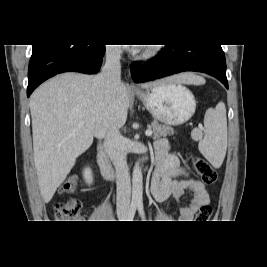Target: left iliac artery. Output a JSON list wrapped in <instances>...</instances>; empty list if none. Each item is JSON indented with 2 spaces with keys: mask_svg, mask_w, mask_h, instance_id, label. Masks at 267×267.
Returning <instances> with one entry per match:
<instances>
[{
  "mask_svg": "<svg viewBox=\"0 0 267 267\" xmlns=\"http://www.w3.org/2000/svg\"><path fill=\"white\" fill-rule=\"evenodd\" d=\"M137 206H138V211H139L140 216L142 217V219H145L143 203L139 202Z\"/></svg>",
  "mask_w": 267,
  "mask_h": 267,
  "instance_id": "left-iliac-artery-1",
  "label": "left iliac artery"
}]
</instances>
